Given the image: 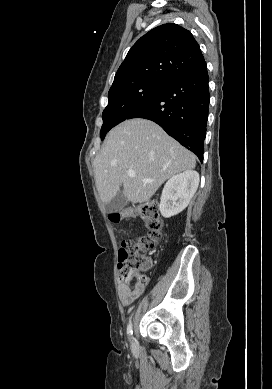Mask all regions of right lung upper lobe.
Here are the masks:
<instances>
[{
	"mask_svg": "<svg viewBox=\"0 0 272 389\" xmlns=\"http://www.w3.org/2000/svg\"><path fill=\"white\" fill-rule=\"evenodd\" d=\"M203 61L200 47L190 31L174 23L163 24L131 47L110 90L142 80L167 83Z\"/></svg>",
	"mask_w": 272,
	"mask_h": 389,
	"instance_id": "obj_1",
	"label": "right lung upper lobe"
}]
</instances>
